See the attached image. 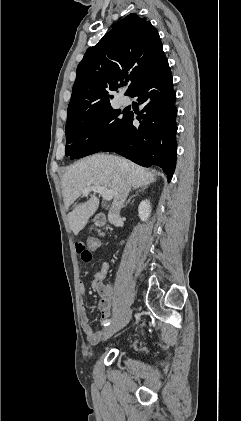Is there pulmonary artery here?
<instances>
[{
  "label": "pulmonary artery",
  "instance_id": "e3ab8cb5",
  "mask_svg": "<svg viewBox=\"0 0 241 421\" xmlns=\"http://www.w3.org/2000/svg\"><path fill=\"white\" fill-rule=\"evenodd\" d=\"M120 102H121L123 105H128V104L130 103V98H129L128 96H122V97L120 98Z\"/></svg>",
  "mask_w": 241,
  "mask_h": 421
}]
</instances>
